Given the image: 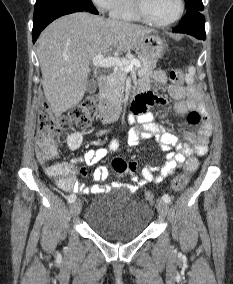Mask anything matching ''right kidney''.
I'll return each mask as SVG.
<instances>
[{
  "label": "right kidney",
  "mask_w": 233,
  "mask_h": 284,
  "mask_svg": "<svg viewBox=\"0 0 233 284\" xmlns=\"http://www.w3.org/2000/svg\"><path fill=\"white\" fill-rule=\"evenodd\" d=\"M83 141V136L80 133L68 135L67 144L70 150L74 151L80 147Z\"/></svg>",
  "instance_id": "obj_1"
}]
</instances>
